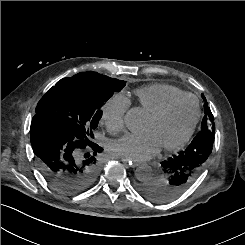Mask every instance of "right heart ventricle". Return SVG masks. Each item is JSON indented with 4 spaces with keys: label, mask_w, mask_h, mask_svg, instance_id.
Here are the masks:
<instances>
[{
    "label": "right heart ventricle",
    "mask_w": 245,
    "mask_h": 245,
    "mask_svg": "<svg viewBox=\"0 0 245 245\" xmlns=\"http://www.w3.org/2000/svg\"><path fill=\"white\" fill-rule=\"evenodd\" d=\"M186 94L171 85L152 84L135 91L139 108L146 114H150L171 98Z\"/></svg>",
    "instance_id": "obj_1"
}]
</instances>
